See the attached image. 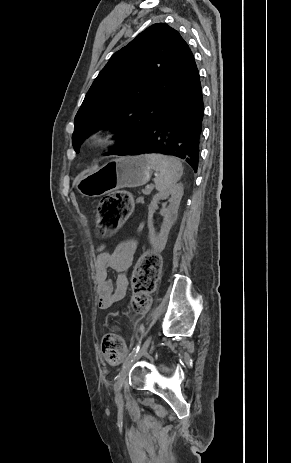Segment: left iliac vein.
<instances>
[{
	"label": "left iliac vein",
	"mask_w": 291,
	"mask_h": 463,
	"mask_svg": "<svg viewBox=\"0 0 291 463\" xmlns=\"http://www.w3.org/2000/svg\"><path fill=\"white\" fill-rule=\"evenodd\" d=\"M151 340H152V335H150L147 340L144 342L143 346L141 347V349L138 351V353L136 354V356L133 358V361L128 363L120 372V374L118 375V378L114 384V389H115V393H116V402L117 403H121L122 402V395H121V389H122V386L124 384V381L128 375V372L133 364V362L137 361L139 358H141L147 351L150 343H151Z\"/></svg>",
	"instance_id": "4c4485c4"
}]
</instances>
